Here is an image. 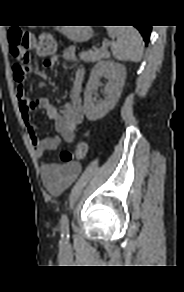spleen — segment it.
<instances>
[{"instance_id": "spleen-1", "label": "spleen", "mask_w": 184, "mask_h": 292, "mask_svg": "<svg viewBox=\"0 0 184 292\" xmlns=\"http://www.w3.org/2000/svg\"><path fill=\"white\" fill-rule=\"evenodd\" d=\"M108 35L115 42L111 46L114 58L118 61L139 62L143 54L140 33L132 26L108 27Z\"/></svg>"}]
</instances>
